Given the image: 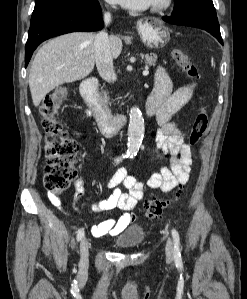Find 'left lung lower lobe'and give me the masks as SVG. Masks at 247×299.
Instances as JSON below:
<instances>
[{
    "label": "left lung lower lobe",
    "mask_w": 247,
    "mask_h": 299,
    "mask_svg": "<svg viewBox=\"0 0 247 299\" xmlns=\"http://www.w3.org/2000/svg\"><path fill=\"white\" fill-rule=\"evenodd\" d=\"M162 19L170 24L191 26L205 30L223 44L216 14L198 8H190L177 14H171V16H164Z\"/></svg>",
    "instance_id": "1"
}]
</instances>
